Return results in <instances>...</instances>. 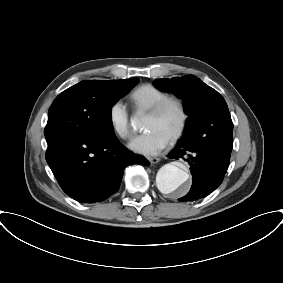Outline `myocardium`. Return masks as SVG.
I'll return each mask as SVG.
<instances>
[{
	"label": "myocardium",
	"mask_w": 283,
	"mask_h": 283,
	"mask_svg": "<svg viewBox=\"0 0 283 283\" xmlns=\"http://www.w3.org/2000/svg\"><path fill=\"white\" fill-rule=\"evenodd\" d=\"M175 105L180 112V122L176 131L168 138L170 142L178 140L186 130L189 122V112L186 102L177 95H168L156 105H154L147 113L149 116H158L162 114L168 107Z\"/></svg>",
	"instance_id": "f54148a6"
}]
</instances>
